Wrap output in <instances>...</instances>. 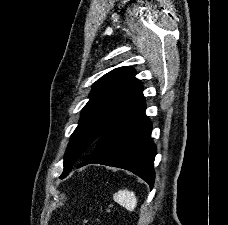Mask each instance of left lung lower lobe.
I'll return each mask as SVG.
<instances>
[{
	"instance_id": "1",
	"label": "left lung lower lobe",
	"mask_w": 228,
	"mask_h": 225,
	"mask_svg": "<svg viewBox=\"0 0 228 225\" xmlns=\"http://www.w3.org/2000/svg\"><path fill=\"white\" fill-rule=\"evenodd\" d=\"M145 109L144 99L110 126L77 168L103 164L126 169L145 180L152 189L156 146L151 139L152 124L145 115Z\"/></svg>"
}]
</instances>
